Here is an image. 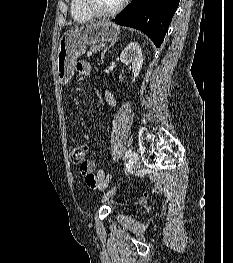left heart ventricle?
Masks as SVG:
<instances>
[{
    "label": "left heart ventricle",
    "instance_id": "obj_1",
    "mask_svg": "<svg viewBox=\"0 0 233 263\" xmlns=\"http://www.w3.org/2000/svg\"><path fill=\"white\" fill-rule=\"evenodd\" d=\"M92 5L100 11H109L115 8L121 0H90Z\"/></svg>",
    "mask_w": 233,
    "mask_h": 263
}]
</instances>
